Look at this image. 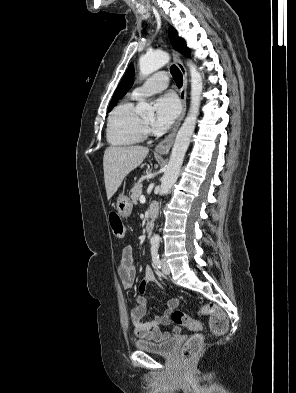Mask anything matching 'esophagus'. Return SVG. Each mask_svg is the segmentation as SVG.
I'll return each mask as SVG.
<instances>
[{"label": "esophagus", "instance_id": "1", "mask_svg": "<svg viewBox=\"0 0 296 393\" xmlns=\"http://www.w3.org/2000/svg\"><path fill=\"white\" fill-rule=\"evenodd\" d=\"M174 55V63L175 65L178 67V69L181 71L182 76H183V85L180 89L179 92V98L181 101V105H182V110L181 113L177 119V121L174 124V127L172 129V131L169 133L168 136L165 137V139L163 141H161L155 148L156 152L160 153V154H168L170 151V148L174 142L177 130L185 116L186 113V109H187V85H188V75H187V71L185 66L183 65V62L180 58V55L174 51L173 52Z\"/></svg>", "mask_w": 296, "mask_h": 393}]
</instances>
